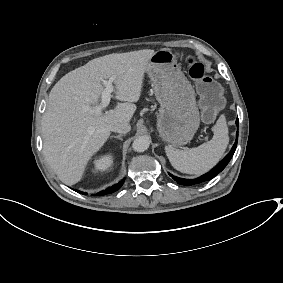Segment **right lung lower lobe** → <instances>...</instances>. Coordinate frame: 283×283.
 <instances>
[{
    "label": "right lung lower lobe",
    "instance_id": "1",
    "mask_svg": "<svg viewBox=\"0 0 283 283\" xmlns=\"http://www.w3.org/2000/svg\"><path fill=\"white\" fill-rule=\"evenodd\" d=\"M124 181H125V180L123 179L122 181H120L119 183L113 185L112 187H109V188H107L106 190H103V191H101V192L95 194V196L110 194V193H113V192L119 190L120 187L123 185ZM75 191L78 192V193L87 195V193H83V192L78 191V190H75Z\"/></svg>",
    "mask_w": 283,
    "mask_h": 283
}]
</instances>
